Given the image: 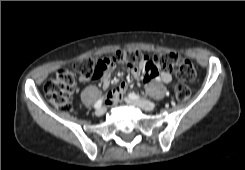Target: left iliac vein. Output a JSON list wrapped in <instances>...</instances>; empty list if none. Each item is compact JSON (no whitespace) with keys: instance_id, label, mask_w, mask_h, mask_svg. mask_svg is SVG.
I'll return each mask as SVG.
<instances>
[{"instance_id":"left-iliac-vein-1","label":"left iliac vein","mask_w":245,"mask_h":170,"mask_svg":"<svg viewBox=\"0 0 245 170\" xmlns=\"http://www.w3.org/2000/svg\"><path fill=\"white\" fill-rule=\"evenodd\" d=\"M125 101L129 104L136 105L144 110H152L154 108V104L149 102V105H146L142 100H132L130 98H125Z\"/></svg>"}]
</instances>
